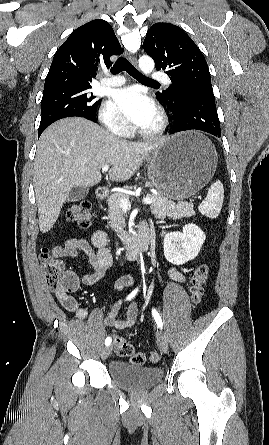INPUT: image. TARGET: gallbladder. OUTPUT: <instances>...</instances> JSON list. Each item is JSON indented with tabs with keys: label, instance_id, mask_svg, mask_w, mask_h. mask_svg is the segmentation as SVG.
I'll return each instance as SVG.
<instances>
[{
	"label": "gallbladder",
	"instance_id": "bac80fb5",
	"mask_svg": "<svg viewBox=\"0 0 269 445\" xmlns=\"http://www.w3.org/2000/svg\"><path fill=\"white\" fill-rule=\"evenodd\" d=\"M89 188L83 186H74L69 193L68 202L80 201L87 196Z\"/></svg>",
	"mask_w": 269,
	"mask_h": 445
}]
</instances>
